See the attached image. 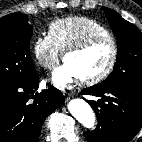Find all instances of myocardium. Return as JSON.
I'll list each match as a JSON object with an SVG mask.
<instances>
[{
	"mask_svg": "<svg viewBox=\"0 0 142 142\" xmlns=\"http://www.w3.org/2000/svg\"><path fill=\"white\" fill-rule=\"evenodd\" d=\"M100 41H108L111 44L112 55H111L110 61L107 64V66L98 74H95L90 77L80 78V82L84 85L98 84L101 81L105 80L111 74V72L113 71V69L116 65V62L118 59V53H119L116 40L111 35L110 36L91 35V36L81 40L80 42H77V43L69 46L68 48H66L63 51L62 57H63V60H65L69 54L83 51V50L89 48L90 46H92L93 44H95L96 42H100Z\"/></svg>",
	"mask_w": 142,
	"mask_h": 142,
	"instance_id": "obj_1",
	"label": "myocardium"
}]
</instances>
